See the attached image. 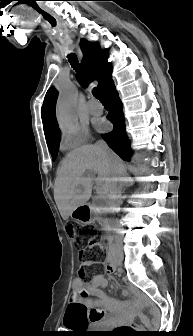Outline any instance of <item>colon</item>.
Masks as SVG:
<instances>
[{"label":"colon","mask_w":193,"mask_h":336,"mask_svg":"<svg viewBox=\"0 0 193 336\" xmlns=\"http://www.w3.org/2000/svg\"><path fill=\"white\" fill-rule=\"evenodd\" d=\"M67 232L79 247L80 259L83 262V266L80 268L79 274L84 276L87 271L86 265L97 262L102 256V248L96 238V235H91L87 242H84L73 224H69L67 226Z\"/></svg>","instance_id":"5ec220e1"}]
</instances>
